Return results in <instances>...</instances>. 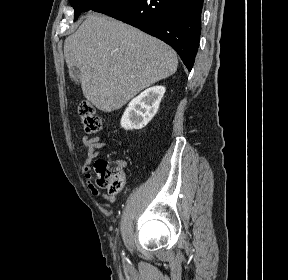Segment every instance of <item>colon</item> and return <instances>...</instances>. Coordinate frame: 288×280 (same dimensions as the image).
<instances>
[{"mask_svg":"<svg viewBox=\"0 0 288 280\" xmlns=\"http://www.w3.org/2000/svg\"><path fill=\"white\" fill-rule=\"evenodd\" d=\"M78 113L87 133L96 134L101 130V120L90 101H82L79 104ZM94 169L97 186L107 188L112 195L122 190L124 185V167L121 161L100 159L95 162Z\"/></svg>","mask_w":288,"mask_h":280,"instance_id":"colon-1","label":"colon"}]
</instances>
